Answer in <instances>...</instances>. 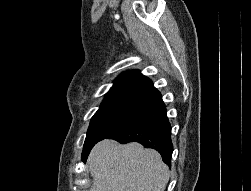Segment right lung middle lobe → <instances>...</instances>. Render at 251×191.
<instances>
[{
    "instance_id": "obj_1",
    "label": "right lung middle lobe",
    "mask_w": 251,
    "mask_h": 191,
    "mask_svg": "<svg viewBox=\"0 0 251 191\" xmlns=\"http://www.w3.org/2000/svg\"><path fill=\"white\" fill-rule=\"evenodd\" d=\"M141 111V109L127 106H100L91 119L83 147L82 160L86 161L91 149L97 142L107 139Z\"/></svg>"
}]
</instances>
